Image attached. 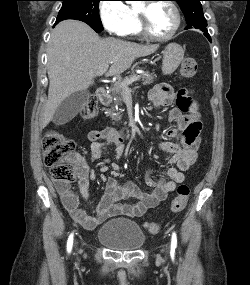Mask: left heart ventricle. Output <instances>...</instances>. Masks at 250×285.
I'll list each match as a JSON object with an SVG mask.
<instances>
[{"label":"left heart ventricle","mask_w":250,"mask_h":285,"mask_svg":"<svg viewBox=\"0 0 250 285\" xmlns=\"http://www.w3.org/2000/svg\"><path fill=\"white\" fill-rule=\"evenodd\" d=\"M138 7H143V3ZM148 25L151 32L157 36L170 33L175 25V15L171 7L165 3H153L146 7Z\"/></svg>","instance_id":"1"}]
</instances>
